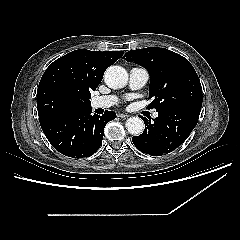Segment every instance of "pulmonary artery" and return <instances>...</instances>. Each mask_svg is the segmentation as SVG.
<instances>
[{"label": "pulmonary artery", "instance_id": "obj_1", "mask_svg": "<svg viewBox=\"0 0 240 240\" xmlns=\"http://www.w3.org/2000/svg\"><path fill=\"white\" fill-rule=\"evenodd\" d=\"M149 79V73L146 69L140 67H134L129 73V88L131 90H139L144 87ZM119 98L114 95L98 96L92 99L93 108H108L117 104ZM153 117H158V112L153 113Z\"/></svg>", "mask_w": 240, "mask_h": 240}]
</instances>
